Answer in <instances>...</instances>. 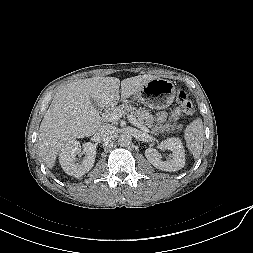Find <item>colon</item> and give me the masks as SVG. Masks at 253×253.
<instances>
[{
    "instance_id": "obj_1",
    "label": "colon",
    "mask_w": 253,
    "mask_h": 253,
    "mask_svg": "<svg viewBox=\"0 0 253 253\" xmlns=\"http://www.w3.org/2000/svg\"><path fill=\"white\" fill-rule=\"evenodd\" d=\"M176 100L186 115L191 116L194 114L193 104L186 91L179 90L176 95Z\"/></svg>"
}]
</instances>
